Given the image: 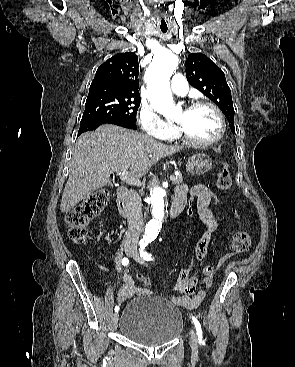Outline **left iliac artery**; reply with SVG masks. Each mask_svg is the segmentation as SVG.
<instances>
[{
	"mask_svg": "<svg viewBox=\"0 0 295 367\" xmlns=\"http://www.w3.org/2000/svg\"><path fill=\"white\" fill-rule=\"evenodd\" d=\"M140 256H141L144 260H146V261H152V260H154V257H153L150 253H148V252H146V251L144 250V247H141V248H140ZM191 318H192V321H193V323H194V325H195V328H196V331H197L198 342H199L200 344L204 345V344H205V342H204V340H203V335H202L201 325H200V323H199V321L197 320V318H196V317H194V316L192 315V316H191Z\"/></svg>",
	"mask_w": 295,
	"mask_h": 367,
	"instance_id": "1",
	"label": "left iliac artery"
}]
</instances>
